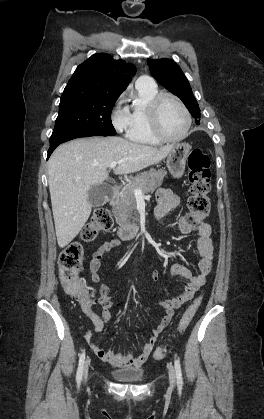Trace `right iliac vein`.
I'll return each mask as SVG.
<instances>
[{
    "mask_svg": "<svg viewBox=\"0 0 264 419\" xmlns=\"http://www.w3.org/2000/svg\"><path fill=\"white\" fill-rule=\"evenodd\" d=\"M88 363H89V360L87 359L83 368L85 379L87 378V375H88Z\"/></svg>",
    "mask_w": 264,
    "mask_h": 419,
    "instance_id": "1",
    "label": "right iliac vein"
}]
</instances>
